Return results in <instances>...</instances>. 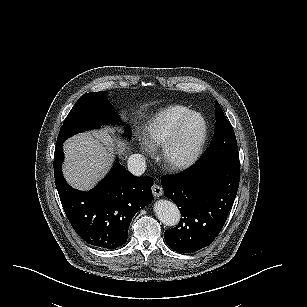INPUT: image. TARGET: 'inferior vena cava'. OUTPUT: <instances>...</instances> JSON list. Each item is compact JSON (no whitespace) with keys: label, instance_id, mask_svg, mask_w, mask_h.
I'll return each instance as SVG.
<instances>
[{"label":"inferior vena cava","instance_id":"1","mask_svg":"<svg viewBox=\"0 0 307 307\" xmlns=\"http://www.w3.org/2000/svg\"><path fill=\"white\" fill-rule=\"evenodd\" d=\"M127 167L130 173L141 176L146 170V161L141 154H131L127 158Z\"/></svg>","mask_w":307,"mask_h":307}]
</instances>
